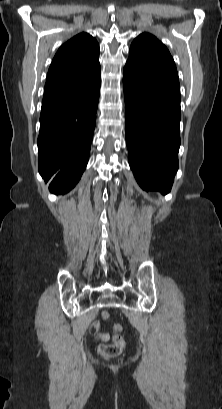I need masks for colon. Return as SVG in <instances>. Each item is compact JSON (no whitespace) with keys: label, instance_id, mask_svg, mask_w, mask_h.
I'll list each match as a JSON object with an SVG mask.
<instances>
[{"label":"colon","instance_id":"1","mask_svg":"<svg viewBox=\"0 0 222 409\" xmlns=\"http://www.w3.org/2000/svg\"><path fill=\"white\" fill-rule=\"evenodd\" d=\"M102 317L104 319H108L109 313L104 311L102 313ZM120 326L118 324H114L112 326V331L114 333L113 342L108 344H102L99 346L100 354L105 358H114L121 354V352L125 348V340L120 335Z\"/></svg>","mask_w":222,"mask_h":409}]
</instances>
